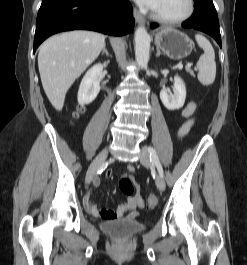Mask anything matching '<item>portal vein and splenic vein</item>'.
I'll list each match as a JSON object with an SVG mask.
<instances>
[{
	"label": "portal vein and splenic vein",
	"instance_id": "portal-vein-and-splenic-vein-1",
	"mask_svg": "<svg viewBox=\"0 0 247 265\" xmlns=\"http://www.w3.org/2000/svg\"><path fill=\"white\" fill-rule=\"evenodd\" d=\"M191 65H192L191 63H188V64H187V67H189V68H190V67H191ZM178 68H179V69H182V68H183V65H182V64L178 65Z\"/></svg>",
	"mask_w": 247,
	"mask_h": 265
}]
</instances>
